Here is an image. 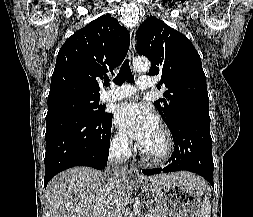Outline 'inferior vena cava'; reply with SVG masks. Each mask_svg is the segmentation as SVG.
<instances>
[{"mask_svg": "<svg viewBox=\"0 0 253 217\" xmlns=\"http://www.w3.org/2000/svg\"><path fill=\"white\" fill-rule=\"evenodd\" d=\"M128 150L127 139H122L115 143L109 152L106 173L110 178V193L114 196V203H119L121 197V187L123 180L127 178V166L124 164L126 161ZM117 205V204H116Z\"/></svg>", "mask_w": 253, "mask_h": 217, "instance_id": "602c4592", "label": "inferior vena cava"}]
</instances>
